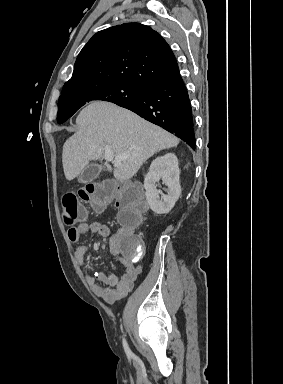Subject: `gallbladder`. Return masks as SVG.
I'll list each match as a JSON object with an SVG mask.
<instances>
[{"label":"gallbladder","instance_id":"gallbladder-1","mask_svg":"<svg viewBox=\"0 0 283 384\" xmlns=\"http://www.w3.org/2000/svg\"><path fill=\"white\" fill-rule=\"evenodd\" d=\"M98 167L96 165H91L89 168H86V170H83L81 176L78 178V182L80 184H87V182H92L95 177L98 175Z\"/></svg>","mask_w":283,"mask_h":384}]
</instances>
